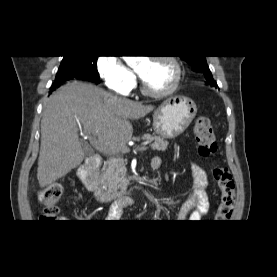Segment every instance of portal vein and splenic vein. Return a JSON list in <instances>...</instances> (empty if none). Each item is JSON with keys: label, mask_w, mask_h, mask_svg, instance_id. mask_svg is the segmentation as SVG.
I'll return each instance as SVG.
<instances>
[{"label": "portal vein and splenic vein", "mask_w": 277, "mask_h": 277, "mask_svg": "<svg viewBox=\"0 0 277 277\" xmlns=\"http://www.w3.org/2000/svg\"><path fill=\"white\" fill-rule=\"evenodd\" d=\"M86 135L89 137V140H90L91 145H92L95 149H97L98 151L104 152V153H106V154L112 152V151H110L109 149H107L106 147H104L102 144H100V142H99L98 140H96V138L93 137L91 134L86 133ZM147 148H148V147H147L146 144H145L144 146L138 147L136 150H137V151H145V150H147Z\"/></svg>", "instance_id": "1"}]
</instances>
